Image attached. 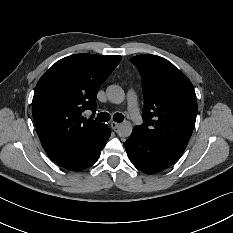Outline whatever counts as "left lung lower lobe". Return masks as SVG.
I'll use <instances>...</instances> for the list:
<instances>
[{
  "label": "left lung lower lobe",
  "instance_id": "left-lung-lower-lobe-1",
  "mask_svg": "<svg viewBox=\"0 0 233 233\" xmlns=\"http://www.w3.org/2000/svg\"><path fill=\"white\" fill-rule=\"evenodd\" d=\"M124 146L132 164L146 174L166 169L184 152L149 140L135 128Z\"/></svg>",
  "mask_w": 233,
  "mask_h": 233
}]
</instances>
